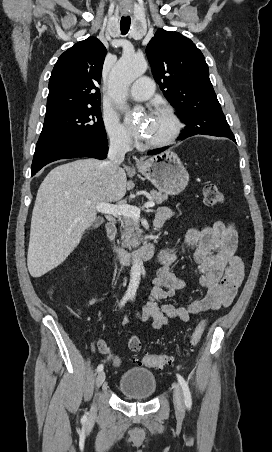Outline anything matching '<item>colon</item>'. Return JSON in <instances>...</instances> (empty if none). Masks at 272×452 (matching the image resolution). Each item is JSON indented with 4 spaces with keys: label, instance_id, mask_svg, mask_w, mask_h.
Masks as SVG:
<instances>
[{
    "label": "colon",
    "instance_id": "5ec220e1",
    "mask_svg": "<svg viewBox=\"0 0 272 452\" xmlns=\"http://www.w3.org/2000/svg\"><path fill=\"white\" fill-rule=\"evenodd\" d=\"M203 201L206 206L216 207L222 205L225 202V195L222 191L218 189L215 184L208 183L203 187ZM206 322L202 320L198 323V325L193 329V331L189 335V345L191 347H195L203 334ZM100 351L102 353L105 352V349L102 344L99 345ZM130 349L133 352L138 353L141 350V343L137 340H133L130 344ZM139 365H145L148 367L161 368L171 364L172 359L168 355L163 354H149L145 355L140 359H136L134 361Z\"/></svg>",
    "mask_w": 272,
    "mask_h": 452
}]
</instances>
